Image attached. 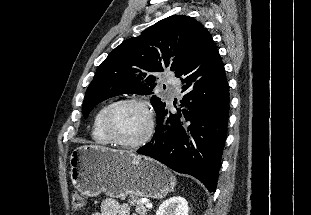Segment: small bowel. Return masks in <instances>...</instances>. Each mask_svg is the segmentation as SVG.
<instances>
[{
	"label": "small bowel",
	"mask_w": 311,
	"mask_h": 215,
	"mask_svg": "<svg viewBox=\"0 0 311 215\" xmlns=\"http://www.w3.org/2000/svg\"><path fill=\"white\" fill-rule=\"evenodd\" d=\"M91 215H130V208L127 204L119 203L112 198H107L101 203L100 210Z\"/></svg>",
	"instance_id": "c3829d8e"
}]
</instances>
